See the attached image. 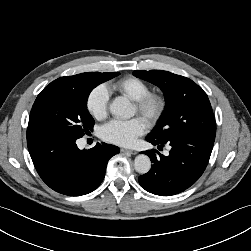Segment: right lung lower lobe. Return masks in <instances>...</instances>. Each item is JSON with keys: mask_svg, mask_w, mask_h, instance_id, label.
I'll use <instances>...</instances> for the list:
<instances>
[{"mask_svg": "<svg viewBox=\"0 0 251 251\" xmlns=\"http://www.w3.org/2000/svg\"><path fill=\"white\" fill-rule=\"evenodd\" d=\"M76 138L27 129V146L41 179L53 190L81 196L102 182L109 159L120 152L117 146L97 143L80 150Z\"/></svg>", "mask_w": 251, "mask_h": 251, "instance_id": "right-lung-lower-lobe-1", "label": "right lung lower lobe"}]
</instances>
